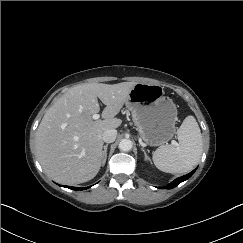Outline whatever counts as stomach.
<instances>
[{
	"mask_svg": "<svg viewBox=\"0 0 243 243\" xmlns=\"http://www.w3.org/2000/svg\"><path fill=\"white\" fill-rule=\"evenodd\" d=\"M125 104L147 145H164L175 135L177 108L159 84L136 83Z\"/></svg>",
	"mask_w": 243,
	"mask_h": 243,
	"instance_id": "stomach-1",
	"label": "stomach"
}]
</instances>
